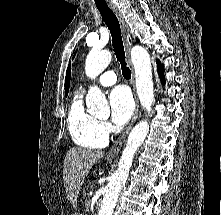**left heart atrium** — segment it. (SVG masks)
Wrapping results in <instances>:
<instances>
[{
    "label": "left heart atrium",
    "instance_id": "obj_1",
    "mask_svg": "<svg viewBox=\"0 0 221 215\" xmlns=\"http://www.w3.org/2000/svg\"><path fill=\"white\" fill-rule=\"evenodd\" d=\"M111 120L114 124L124 125L132 116L134 102L129 89L125 86L114 88L109 96Z\"/></svg>",
    "mask_w": 221,
    "mask_h": 215
}]
</instances>
